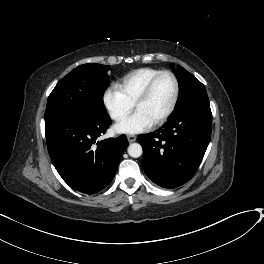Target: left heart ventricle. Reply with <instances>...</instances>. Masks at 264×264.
Returning a JSON list of instances; mask_svg holds the SVG:
<instances>
[{"instance_id": "obj_1", "label": "left heart ventricle", "mask_w": 264, "mask_h": 264, "mask_svg": "<svg viewBox=\"0 0 264 264\" xmlns=\"http://www.w3.org/2000/svg\"><path fill=\"white\" fill-rule=\"evenodd\" d=\"M174 94V82L169 75L161 76L152 88L149 97L136 107L152 122L169 108Z\"/></svg>"}]
</instances>
